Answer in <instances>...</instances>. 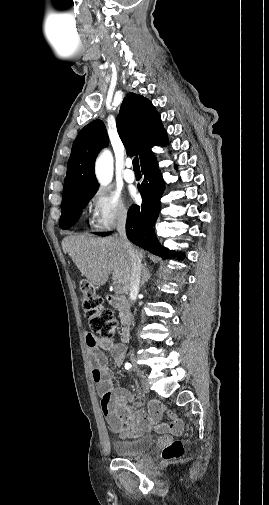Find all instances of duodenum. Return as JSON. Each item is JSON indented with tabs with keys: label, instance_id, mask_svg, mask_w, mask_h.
Returning a JSON list of instances; mask_svg holds the SVG:
<instances>
[{
	"label": "duodenum",
	"instance_id": "obj_1",
	"mask_svg": "<svg viewBox=\"0 0 269 505\" xmlns=\"http://www.w3.org/2000/svg\"><path fill=\"white\" fill-rule=\"evenodd\" d=\"M106 300L111 307L119 310L121 314L120 338L123 343H126L130 338V304L126 298L116 295H107Z\"/></svg>",
	"mask_w": 269,
	"mask_h": 505
}]
</instances>
